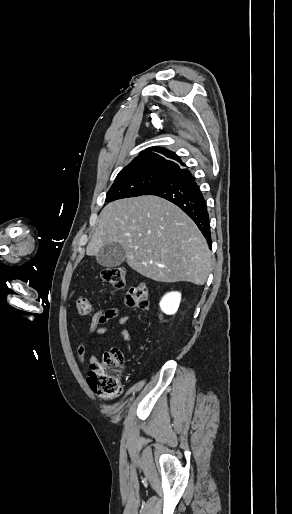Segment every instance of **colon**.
Segmentation results:
<instances>
[{"mask_svg": "<svg viewBox=\"0 0 292 514\" xmlns=\"http://www.w3.org/2000/svg\"><path fill=\"white\" fill-rule=\"evenodd\" d=\"M126 268L110 267L100 273L101 280L112 290L125 288ZM127 303L135 309H146L149 306V288L146 283L132 285L126 295ZM77 309L81 315L93 313V304L86 296L77 300ZM125 361V354L120 349L104 352L102 359L90 366L87 382L92 391L107 402L115 401L122 393V384L118 377L119 369Z\"/></svg>", "mask_w": 292, "mask_h": 514, "instance_id": "colon-1", "label": "colon"}]
</instances>
